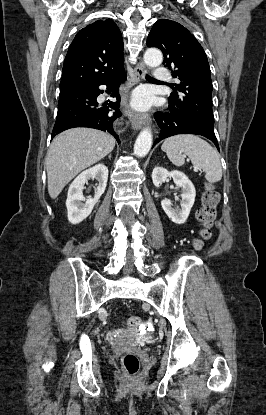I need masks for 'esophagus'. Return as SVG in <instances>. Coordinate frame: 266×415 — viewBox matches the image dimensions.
I'll return each mask as SVG.
<instances>
[{
  "label": "esophagus",
  "instance_id": "obj_1",
  "mask_svg": "<svg viewBox=\"0 0 266 415\" xmlns=\"http://www.w3.org/2000/svg\"><path fill=\"white\" fill-rule=\"evenodd\" d=\"M146 72V67L143 62H139L135 65L134 68V79L131 83V86H134L141 82L144 79ZM123 105L126 107V114L130 118L132 127L136 130L140 129L145 123L150 121V115L148 113L137 112L130 108L129 106V96L123 97Z\"/></svg>",
  "mask_w": 266,
  "mask_h": 415
}]
</instances>
